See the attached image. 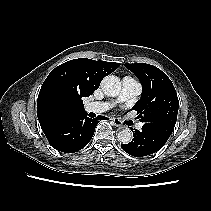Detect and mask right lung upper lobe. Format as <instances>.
Masks as SVG:
<instances>
[{
    "mask_svg": "<svg viewBox=\"0 0 211 211\" xmlns=\"http://www.w3.org/2000/svg\"><path fill=\"white\" fill-rule=\"evenodd\" d=\"M120 63L80 58L53 69L44 81L37 100V116L41 128L69 113H83V98L93 94L102 79L115 71Z\"/></svg>",
    "mask_w": 211,
    "mask_h": 211,
    "instance_id": "1",
    "label": "right lung upper lobe"
}]
</instances>
